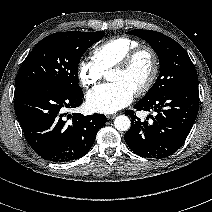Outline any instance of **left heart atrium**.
Wrapping results in <instances>:
<instances>
[{
    "mask_svg": "<svg viewBox=\"0 0 212 212\" xmlns=\"http://www.w3.org/2000/svg\"><path fill=\"white\" fill-rule=\"evenodd\" d=\"M135 91L122 82L99 85L87 93V106L98 113L110 114L130 104Z\"/></svg>",
    "mask_w": 212,
    "mask_h": 212,
    "instance_id": "left-heart-atrium-1",
    "label": "left heart atrium"
}]
</instances>
